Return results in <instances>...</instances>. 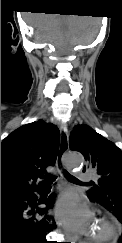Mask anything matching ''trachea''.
I'll return each instance as SVG.
<instances>
[{
    "instance_id": "1",
    "label": "trachea",
    "mask_w": 122,
    "mask_h": 243,
    "mask_svg": "<svg viewBox=\"0 0 122 243\" xmlns=\"http://www.w3.org/2000/svg\"><path fill=\"white\" fill-rule=\"evenodd\" d=\"M66 176H67V179H68L70 182H80L76 177L70 175L68 172H66ZM54 180H55V177H54V176H50V177H48V178L46 179V181L44 182L43 187H44V188H48V187H50Z\"/></svg>"
}]
</instances>
